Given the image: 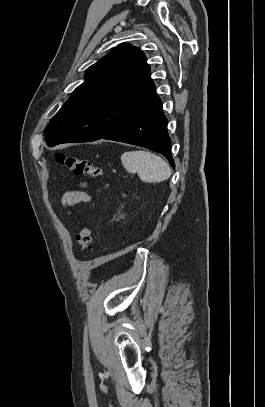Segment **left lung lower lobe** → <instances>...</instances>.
Returning <instances> with one entry per match:
<instances>
[{"label": "left lung lower lobe", "mask_w": 265, "mask_h": 407, "mask_svg": "<svg viewBox=\"0 0 265 407\" xmlns=\"http://www.w3.org/2000/svg\"><path fill=\"white\" fill-rule=\"evenodd\" d=\"M103 139L143 146L163 154L175 167L171 156L170 137L167 133V119L159 100L153 107L127 121Z\"/></svg>", "instance_id": "obj_1"}]
</instances>
